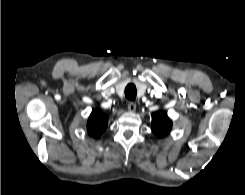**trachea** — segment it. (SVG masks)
<instances>
[{
  "label": "trachea",
  "mask_w": 245,
  "mask_h": 195,
  "mask_svg": "<svg viewBox=\"0 0 245 195\" xmlns=\"http://www.w3.org/2000/svg\"><path fill=\"white\" fill-rule=\"evenodd\" d=\"M136 94H137L136 86L134 84H128L125 88V97L128 100L133 101L136 98Z\"/></svg>",
  "instance_id": "obj_1"
}]
</instances>
